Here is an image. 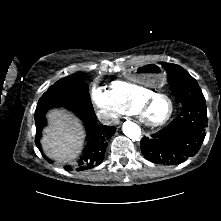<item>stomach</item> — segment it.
Wrapping results in <instances>:
<instances>
[{
    "mask_svg": "<svg viewBox=\"0 0 221 221\" xmlns=\"http://www.w3.org/2000/svg\"><path fill=\"white\" fill-rule=\"evenodd\" d=\"M132 80L144 87L157 88L164 81L162 67L157 63L137 65L131 71Z\"/></svg>",
    "mask_w": 221,
    "mask_h": 221,
    "instance_id": "stomach-1",
    "label": "stomach"
}]
</instances>
